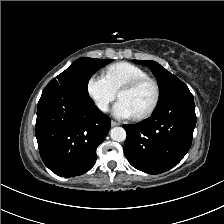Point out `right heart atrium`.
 <instances>
[{
    "label": "right heart atrium",
    "mask_w": 224,
    "mask_h": 224,
    "mask_svg": "<svg viewBox=\"0 0 224 224\" xmlns=\"http://www.w3.org/2000/svg\"><path fill=\"white\" fill-rule=\"evenodd\" d=\"M86 91L96 108L103 113L109 110L111 102L116 97V92L103 75H91L86 83Z\"/></svg>",
    "instance_id": "right-heart-atrium-1"
}]
</instances>
